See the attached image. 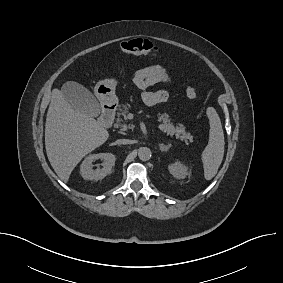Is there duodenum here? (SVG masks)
<instances>
[{
    "label": "duodenum",
    "instance_id": "410a0bca",
    "mask_svg": "<svg viewBox=\"0 0 283 283\" xmlns=\"http://www.w3.org/2000/svg\"><path fill=\"white\" fill-rule=\"evenodd\" d=\"M115 116V109L113 105H106L103 107L101 115H100V123L103 127L109 128Z\"/></svg>",
    "mask_w": 283,
    "mask_h": 283
}]
</instances>
